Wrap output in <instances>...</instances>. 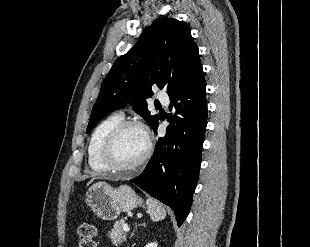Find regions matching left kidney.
<instances>
[{
    "label": "left kidney",
    "mask_w": 310,
    "mask_h": 247,
    "mask_svg": "<svg viewBox=\"0 0 310 247\" xmlns=\"http://www.w3.org/2000/svg\"><path fill=\"white\" fill-rule=\"evenodd\" d=\"M157 243L153 242V243H148L145 247H157Z\"/></svg>",
    "instance_id": "5707ae66"
}]
</instances>
